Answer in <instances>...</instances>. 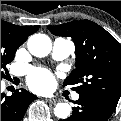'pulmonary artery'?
Segmentation results:
<instances>
[{
	"instance_id": "pulmonary-artery-1",
	"label": "pulmonary artery",
	"mask_w": 121,
	"mask_h": 121,
	"mask_svg": "<svg viewBox=\"0 0 121 121\" xmlns=\"http://www.w3.org/2000/svg\"><path fill=\"white\" fill-rule=\"evenodd\" d=\"M75 51V44L72 40L57 38L53 42L52 58L56 61H62L72 55ZM73 100L79 99V94L72 95Z\"/></svg>"
}]
</instances>
